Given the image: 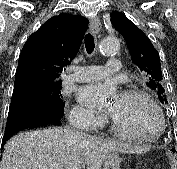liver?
Instances as JSON below:
<instances>
[{"label":"liver","instance_id":"1","mask_svg":"<svg viewBox=\"0 0 177 169\" xmlns=\"http://www.w3.org/2000/svg\"><path fill=\"white\" fill-rule=\"evenodd\" d=\"M118 152L136 150L68 128L28 131L7 141L0 169H101Z\"/></svg>","mask_w":177,"mask_h":169}]
</instances>
